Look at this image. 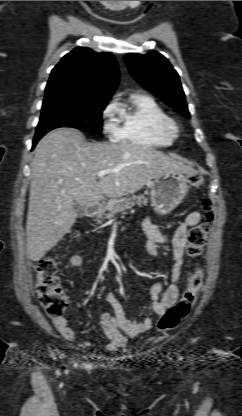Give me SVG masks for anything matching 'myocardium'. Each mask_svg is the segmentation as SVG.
Segmentation results:
<instances>
[{
  "instance_id": "1",
  "label": "myocardium",
  "mask_w": 242,
  "mask_h": 416,
  "mask_svg": "<svg viewBox=\"0 0 242 416\" xmlns=\"http://www.w3.org/2000/svg\"><path fill=\"white\" fill-rule=\"evenodd\" d=\"M163 128L172 136L176 137L179 133V126L177 124V122L171 118H168L164 123H163Z\"/></svg>"
}]
</instances>
